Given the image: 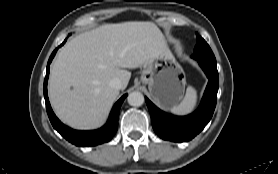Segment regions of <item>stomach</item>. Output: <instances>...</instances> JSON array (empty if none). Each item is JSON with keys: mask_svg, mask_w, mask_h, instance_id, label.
Here are the masks:
<instances>
[{"mask_svg": "<svg viewBox=\"0 0 278 174\" xmlns=\"http://www.w3.org/2000/svg\"><path fill=\"white\" fill-rule=\"evenodd\" d=\"M140 81L148 85L152 98L164 108L175 106L185 92V73L170 52L146 62Z\"/></svg>", "mask_w": 278, "mask_h": 174, "instance_id": "1", "label": "stomach"}]
</instances>
